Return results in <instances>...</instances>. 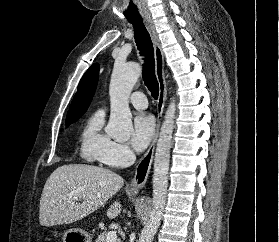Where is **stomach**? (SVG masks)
Returning <instances> with one entry per match:
<instances>
[{
	"label": "stomach",
	"instance_id": "0dacf381",
	"mask_svg": "<svg viewBox=\"0 0 279 242\" xmlns=\"http://www.w3.org/2000/svg\"><path fill=\"white\" fill-rule=\"evenodd\" d=\"M57 235V232H53ZM90 236L81 229H69L63 234V242H90Z\"/></svg>",
	"mask_w": 279,
	"mask_h": 242
}]
</instances>
